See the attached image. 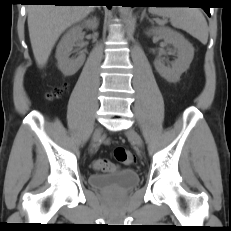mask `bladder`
<instances>
[{
	"label": "bladder",
	"mask_w": 231,
	"mask_h": 231,
	"mask_svg": "<svg viewBox=\"0 0 231 231\" xmlns=\"http://www.w3.org/2000/svg\"><path fill=\"white\" fill-rule=\"evenodd\" d=\"M139 183V175L133 170H122L110 174H92L88 177L91 188L113 194H123Z\"/></svg>",
	"instance_id": "obj_1"
}]
</instances>
